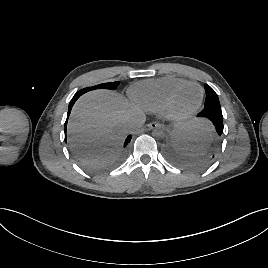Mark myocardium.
<instances>
[{
  "mask_svg": "<svg viewBox=\"0 0 268 268\" xmlns=\"http://www.w3.org/2000/svg\"><path fill=\"white\" fill-rule=\"evenodd\" d=\"M189 86H196L199 88L200 90V98L199 101L197 103V105L191 109L188 112L185 113H179L174 109V101L177 97V95L186 87ZM204 99V89L203 87L196 83V82H186L182 85H179L178 87H176L174 90L171 91V93L168 95L165 104H164V108H163V112L166 115L167 118L173 120V121H183L186 119H189L190 117H192L201 107L202 102Z\"/></svg>",
  "mask_w": 268,
  "mask_h": 268,
  "instance_id": "f54148a6",
  "label": "myocardium"
}]
</instances>
